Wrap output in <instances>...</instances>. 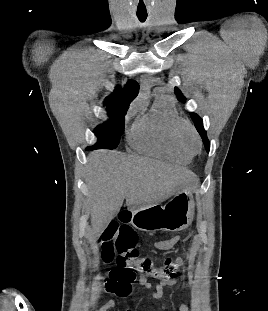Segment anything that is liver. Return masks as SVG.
Wrapping results in <instances>:
<instances>
[{"mask_svg": "<svg viewBox=\"0 0 268 311\" xmlns=\"http://www.w3.org/2000/svg\"><path fill=\"white\" fill-rule=\"evenodd\" d=\"M188 169L147 157L98 150L88 155L85 180L94 241L120 211L124 199L131 210L159 204L194 181Z\"/></svg>", "mask_w": 268, "mask_h": 311, "instance_id": "obj_1", "label": "liver"}]
</instances>
